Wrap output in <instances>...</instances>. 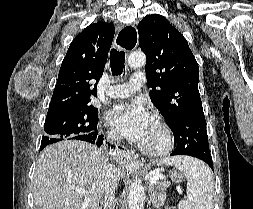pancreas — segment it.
Wrapping results in <instances>:
<instances>
[{
  "label": "pancreas",
  "instance_id": "cf45deb5",
  "mask_svg": "<svg viewBox=\"0 0 253 209\" xmlns=\"http://www.w3.org/2000/svg\"><path fill=\"white\" fill-rule=\"evenodd\" d=\"M170 186L168 181H158L155 183L154 188L159 197L164 198L166 189Z\"/></svg>",
  "mask_w": 253,
  "mask_h": 209
}]
</instances>
